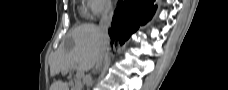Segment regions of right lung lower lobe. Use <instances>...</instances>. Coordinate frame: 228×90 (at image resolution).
Instances as JSON below:
<instances>
[{
  "instance_id": "obj_1",
  "label": "right lung lower lobe",
  "mask_w": 228,
  "mask_h": 90,
  "mask_svg": "<svg viewBox=\"0 0 228 90\" xmlns=\"http://www.w3.org/2000/svg\"><path fill=\"white\" fill-rule=\"evenodd\" d=\"M155 9L154 0L119 1L109 29L112 45L115 47L123 45L140 25L152 18Z\"/></svg>"
}]
</instances>
